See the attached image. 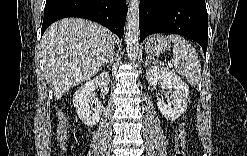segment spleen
Returning a JSON list of instances; mask_svg holds the SVG:
<instances>
[{"instance_id":"1","label":"spleen","mask_w":247,"mask_h":156,"mask_svg":"<svg viewBox=\"0 0 247 156\" xmlns=\"http://www.w3.org/2000/svg\"><path fill=\"white\" fill-rule=\"evenodd\" d=\"M168 39L173 42L172 62L176 71L196 86L201 79V63L195 48L180 35L172 34Z\"/></svg>"}]
</instances>
